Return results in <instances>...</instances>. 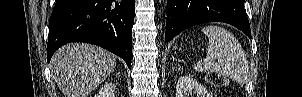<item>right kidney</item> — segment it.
<instances>
[{
    "instance_id": "ca27d5eb",
    "label": "right kidney",
    "mask_w": 302,
    "mask_h": 97,
    "mask_svg": "<svg viewBox=\"0 0 302 97\" xmlns=\"http://www.w3.org/2000/svg\"><path fill=\"white\" fill-rule=\"evenodd\" d=\"M116 86L112 83L105 84L101 87L95 97H113Z\"/></svg>"
}]
</instances>
